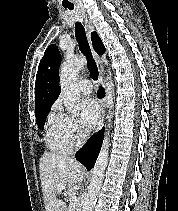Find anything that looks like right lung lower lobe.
<instances>
[{
  "label": "right lung lower lobe",
  "mask_w": 178,
  "mask_h": 211,
  "mask_svg": "<svg viewBox=\"0 0 178 211\" xmlns=\"http://www.w3.org/2000/svg\"><path fill=\"white\" fill-rule=\"evenodd\" d=\"M98 96H104V89L101 87L98 91ZM104 138V129L100 130L98 134L93 135L91 139L76 153V159L81 162L87 170L94 167L97 156L99 154L102 141Z\"/></svg>",
  "instance_id": "98d812e1"
}]
</instances>
